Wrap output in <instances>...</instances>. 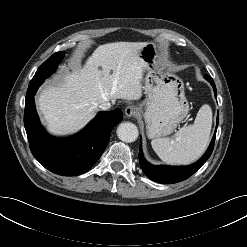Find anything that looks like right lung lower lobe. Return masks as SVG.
<instances>
[{
    "mask_svg": "<svg viewBox=\"0 0 247 247\" xmlns=\"http://www.w3.org/2000/svg\"><path fill=\"white\" fill-rule=\"evenodd\" d=\"M40 84H29L25 101L24 125L33 156L59 175L87 172L104 152L113 127L122 120V112H100L80 133L65 139L51 138L40 125L35 109L34 95Z\"/></svg>",
    "mask_w": 247,
    "mask_h": 247,
    "instance_id": "98d812e1",
    "label": "right lung lower lobe"
}]
</instances>
